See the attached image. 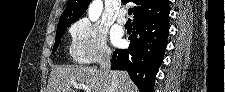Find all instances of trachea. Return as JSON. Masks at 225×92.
Masks as SVG:
<instances>
[{
  "label": "trachea",
  "instance_id": "1",
  "mask_svg": "<svg viewBox=\"0 0 225 92\" xmlns=\"http://www.w3.org/2000/svg\"><path fill=\"white\" fill-rule=\"evenodd\" d=\"M132 12H133V9H132V8H129V9H128V14L131 15Z\"/></svg>",
  "mask_w": 225,
  "mask_h": 92
}]
</instances>
